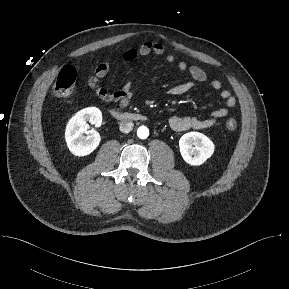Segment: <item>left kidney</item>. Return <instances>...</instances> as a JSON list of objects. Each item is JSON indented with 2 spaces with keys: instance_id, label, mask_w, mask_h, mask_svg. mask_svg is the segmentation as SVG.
<instances>
[{
  "instance_id": "left-kidney-1",
  "label": "left kidney",
  "mask_w": 289,
  "mask_h": 289,
  "mask_svg": "<svg viewBox=\"0 0 289 289\" xmlns=\"http://www.w3.org/2000/svg\"><path fill=\"white\" fill-rule=\"evenodd\" d=\"M180 153L184 161L192 166L202 165L214 152L213 142L199 132H188L179 140Z\"/></svg>"
}]
</instances>
